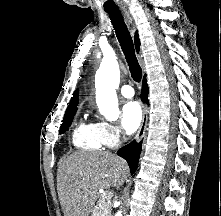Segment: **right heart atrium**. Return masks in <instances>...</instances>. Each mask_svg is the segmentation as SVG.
Here are the masks:
<instances>
[{
	"mask_svg": "<svg viewBox=\"0 0 221 216\" xmlns=\"http://www.w3.org/2000/svg\"><path fill=\"white\" fill-rule=\"evenodd\" d=\"M97 126L103 145L113 147L119 143L121 131L117 125L107 121H100L97 123Z\"/></svg>",
	"mask_w": 221,
	"mask_h": 216,
	"instance_id": "d8ad5b80",
	"label": "right heart atrium"
}]
</instances>
